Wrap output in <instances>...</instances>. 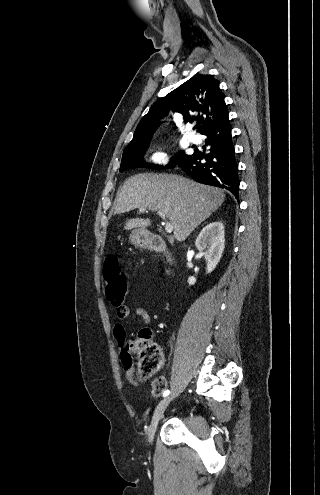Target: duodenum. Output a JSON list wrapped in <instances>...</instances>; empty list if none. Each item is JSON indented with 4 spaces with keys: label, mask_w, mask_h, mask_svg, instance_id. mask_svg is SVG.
Masks as SVG:
<instances>
[{
    "label": "duodenum",
    "mask_w": 320,
    "mask_h": 495,
    "mask_svg": "<svg viewBox=\"0 0 320 495\" xmlns=\"http://www.w3.org/2000/svg\"><path fill=\"white\" fill-rule=\"evenodd\" d=\"M143 241L150 250L163 253L166 256L167 261L171 263L170 253L167 251L164 241L159 236L146 234L143 237Z\"/></svg>",
    "instance_id": "duodenum-1"
}]
</instances>
